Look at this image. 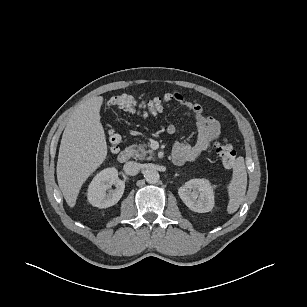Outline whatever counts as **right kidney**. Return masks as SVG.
<instances>
[{
  "mask_svg": "<svg viewBox=\"0 0 307 307\" xmlns=\"http://www.w3.org/2000/svg\"><path fill=\"white\" fill-rule=\"evenodd\" d=\"M115 185V189H110ZM107 189H110L106 192ZM125 189L124 181L118 178L115 168H106L91 181L88 187L87 198L90 204L98 208H108L115 205L122 197Z\"/></svg>",
  "mask_w": 307,
  "mask_h": 307,
  "instance_id": "obj_1",
  "label": "right kidney"
}]
</instances>
